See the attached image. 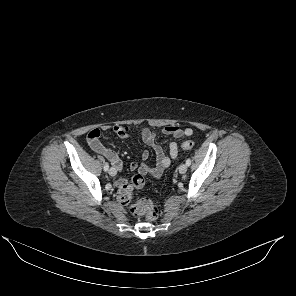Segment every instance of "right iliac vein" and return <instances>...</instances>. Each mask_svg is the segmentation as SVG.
<instances>
[{"label": "right iliac vein", "instance_id": "63e3f726", "mask_svg": "<svg viewBox=\"0 0 296 296\" xmlns=\"http://www.w3.org/2000/svg\"><path fill=\"white\" fill-rule=\"evenodd\" d=\"M116 169L114 168V167H111L110 169H109V174L111 175V176H115L116 175Z\"/></svg>", "mask_w": 296, "mask_h": 296}]
</instances>
